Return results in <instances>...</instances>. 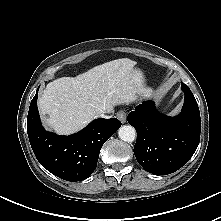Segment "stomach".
<instances>
[{
    "instance_id": "stomach-1",
    "label": "stomach",
    "mask_w": 221,
    "mask_h": 221,
    "mask_svg": "<svg viewBox=\"0 0 221 221\" xmlns=\"http://www.w3.org/2000/svg\"><path fill=\"white\" fill-rule=\"evenodd\" d=\"M134 79L137 83H142V75L140 73H135L134 74Z\"/></svg>"
}]
</instances>
